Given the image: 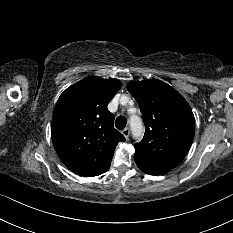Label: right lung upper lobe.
I'll use <instances>...</instances> for the list:
<instances>
[{"mask_svg":"<svg viewBox=\"0 0 233 233\" xmlns=\"http://www.w3.org/2000/svg\"><path fill=\"white\" fill-rule=\"evenodd\" d=\"M122 83L95 76L67 88L59 97L52 118L51 137L64 165L86 177L106 172L116 145L125 137L114 128L107 105Z\"/></svg>","mask_w":233,"mask_h":233,"instance_id":"right-lung-upper-lobe-1","label":"right lung upper lobe"}]
</instances>
